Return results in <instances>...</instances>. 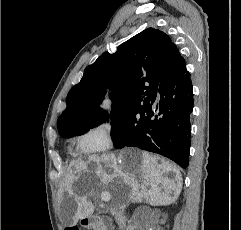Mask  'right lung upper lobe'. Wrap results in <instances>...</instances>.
Instances as JSON below:
<instances>
[{"mask_svg":"<svg viewBox=\"0 0 241 230\" xmlns=\"http://www.w3.org/2000/svg\"><path fill=\"white\" fill-rule=\"evenodd\" d=\"M182 59L170 37L154 28L135 35L113 54L103 53L85 68L81 81L69 91L67 108L57 121L59 132L104 118L98 102L106 90L112 91V111L147 102L156 93L162 78Z\"/></svg>","mask_w":241,"mask_h":230,"instance_id":"obj_1","label":"right lung upper lobe"}]
</instances>
